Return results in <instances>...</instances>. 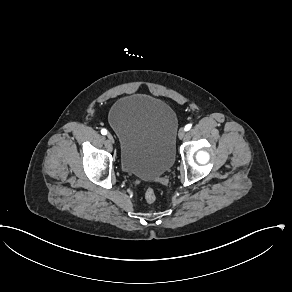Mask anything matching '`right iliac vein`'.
<instances>
[{"label": "right iliac vein", "instance_id": "obj_1", "mask_svg": "<svg viewBox=\"0 0 292 292\" xmlns=\"http://www.w3.org/2000/svg\"><path fill=\"white\" fill-rule=\"evenodd\" d=\"M107 138H108L109 142L114 143V138L110 133L107 135Z\"/></svg>", "mask_w": 292, "mask_h": 292}]
</instances>
